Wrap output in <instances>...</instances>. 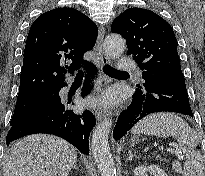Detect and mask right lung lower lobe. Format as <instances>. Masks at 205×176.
I'll return each mask as SVG.
<instances>
[{"label": "right lung lower lobe", "instance_id": "right-lung-lower-lobe-1", "mask_svg": "<svg viewBox=\"0 0 205 176\" xmlns=\"http://www.w3.org/2000/svg\"><path fill=\"white\" fill-rule=\"evenodd\" d=\"M86 70V80L82 88L84 94L90 92L89 78L96 68L90 63ZM63 86L65 84L58 88L54 95L37 105L23 119L11 126L6 137L7 145L26 135L47 133L59 136L70 142L83 154H89L88 139L91 129L96 124L95 117L88 110H85L82 115L68 110L66 106L70 100L59 96V90Z\"/></svg>", "mask_w": 205, "mask_h": 176}]
</instances>
